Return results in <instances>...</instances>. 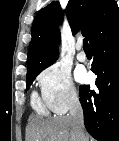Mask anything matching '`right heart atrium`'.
Instances as JSON below:
<instances>
[{
  "label": "right heart atrium",
  "mask_w": 119,
  "mask_h": 141,
  "mask_svg": "<svg viewBox=\"0 0 119 141\" xmlns=\"http://www.w3.org/2000/svg\"><path fill=\"white\" fill-rule=\"evenodd\" d=\"M42 100L48 109L64 113L77 104L78 91L70 73L60 64H52L37 77Z\"/></svg>",
  "instance_id": "d8ad5b80"
}]
</instances>
